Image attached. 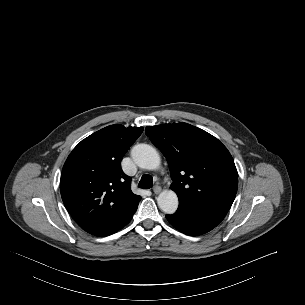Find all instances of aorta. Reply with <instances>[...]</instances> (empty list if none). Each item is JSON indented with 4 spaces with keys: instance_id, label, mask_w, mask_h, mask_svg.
<instances>
[{
    "instance_id": "obj_1",
    "label": "aorta",
    "mask_w": 305,
    "mask_h": 305,
    "mask_svg": "<svg viewBox=\"0 0 305 305\" xmlns=\"http://www.w3.org/2000/svg\"><path fill=\"white\" fill-rule=\"evenodd\" d=\"M131 156L134 162L143 169L155 170L160 165V156L156 149L148 144H138L133 147ZM157 203L159 208L166 214H173L178 208V197L172 190L162 191Z\"/></svg>"
}]
</instances>
